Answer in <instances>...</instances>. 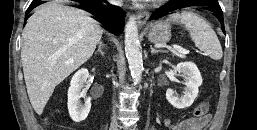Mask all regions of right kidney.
<instances>
[{
    "mask_svg": "<svg viewBox=\"0 0 257 130\" xmlns=\"http://www.w3.org/2000/svg\"><path fill=\"white\" fill-rule=\"evenodd\" d=\"M89 77L87 69L78 70L72 77L70 87L68 89V111L71 119L74 122L85 120L91 109V99L88 97L84 105L80 104V98L86 96L83 85Z\"/></svg>",
    "mask_w": 257,
    "mask_h": 130,
    "instance_id": "1",
    "label": "right kidney"
}]
</instances>
